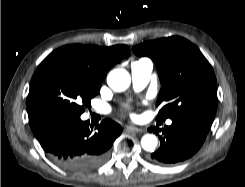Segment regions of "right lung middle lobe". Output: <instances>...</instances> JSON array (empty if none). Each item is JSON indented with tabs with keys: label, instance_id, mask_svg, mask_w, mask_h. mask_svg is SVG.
<instances>
[{
	"label": "right lung middle lobe",
	"instance_id": "1",
	"mask_svg": "<svg viewBox=\"0 0 245 187\" xmlns=\"http://www.w3.org/2000/svg\"><path fill=\"white\" fill-rule=\"evenodd\" d=\"M100 86L81 63L53 51L31 79L27 100L30 126L55 115L80 116Z\"/></svg>",
	"mask_w": 245,
	"mask_h": 187
}]
</instances>
